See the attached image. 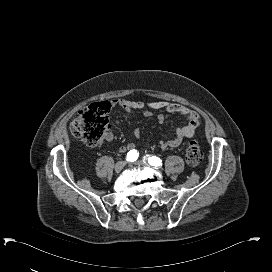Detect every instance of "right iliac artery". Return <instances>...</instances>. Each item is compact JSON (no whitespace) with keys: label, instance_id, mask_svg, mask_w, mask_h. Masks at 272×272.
Returning <instances> with one entry per match:
<instances>
[{"label":"right iliac artery","instance_id":"obj_1","mask_svg":"<svg viewBox=\"0 0 272 272\" xmlns=\"http://www.w3.org/2000/svg\"><path fill=\"white\" fill-rule=\"evenodd\" d=\"M127 159V161H129V162H134V161H136L137 160V158H138V153H137V151L136 150H132V151H129L128 153H127V157H126Z\"/></svg>","mask_w":272,"mask_h":272}]
</instances>
